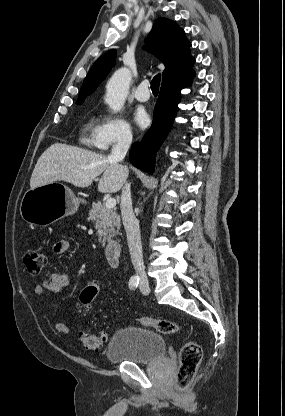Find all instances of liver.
I'll list each match as a JSON object with an SVG mask.
<instances>
[{
	"label": "liver",
	"instance_id": "obj_1",
	"mask_svg": "<svg viewBox=\"0 0 285 416\" xmlns=\"http://www.w3.org/2000/svg\"><path fill=\"white\" fill-rule=\"evenodd\" d=\"M99 180L98 192L115 194L128 178V168L110 164L103 154H95L83 148L53 144L40 156L31 176L30 188H39L53 182H69L77 188H88L93 180Z\"/></svg>",
	"mask_w": 285,
	"mask_h": 416
}]
</instances>
